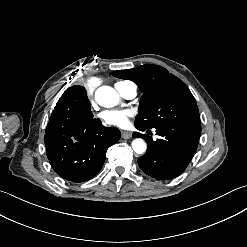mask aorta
Instances as JSON below:
<instances>
[{
    "label": "aorta",
    "mask_w": 247,
    "mask_h": 247,
    "mask_svg": "<svg viewBox=\"0 0 247 247\" xmlns=\"http://www.w3.org/2000/svg\"><path fill=\"white\" fill-rule=\"evenodd\" d=\"M96 101L99 105L109 108L118 104L119 94L110 86H101L95 93ZM132 148L137 154H142L146 151L147 145L141 138H136L132 141Z\"/></svg>",
    "instance_id": "obj_1"
}]
</instances>
